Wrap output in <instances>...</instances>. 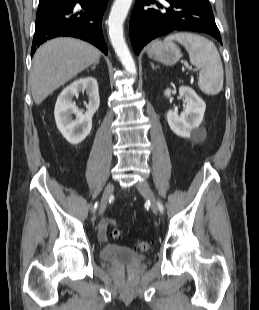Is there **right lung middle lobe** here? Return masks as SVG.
<instances>
[{
    "label": "right lung middle lobe",
    "mask_w": 259,
    "mask_h": 310,
    "mask_svg": "<svg viewBox=\"0 0 259 310\" xmlns=\"http://www.w3.org/2000/svg\"><path fill=\"white\" fill-rule=\"evenodd\" d=\"M51 1H56V0H40L39 1V5H45V4H47L48 2H51Z\"/></svg>",
    "instance_id": "1"
}]
</instances>
